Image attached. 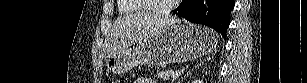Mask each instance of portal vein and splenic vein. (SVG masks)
Segmentation results:
<instances>
[{
  "label": "portal vein and splenic vein",
  "mask_w": 307,
  "mask_h": 83,
  "mask_svg": "<svg viewBox=\"0 0 307 83\" xmlns=\"http://www.w3.org/2000/svg\"><path fill=\"white\" fill-rule=\"evenodd\" d=\"M179 77V73H173L172 75H171V78H173V79H177Z\"/></svg>",
  "instance_id": "1"
}]
</instances>
